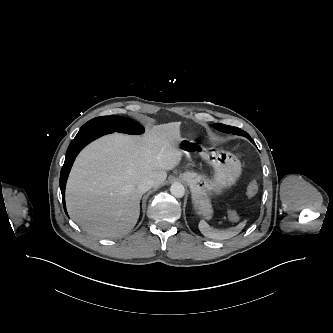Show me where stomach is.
Masks as SVG:
<instances>
[{"mask_svg":"<svg viewBox=\"0 0 333 333\" xmlns=\"http://www.w3.org/2000/svg\"><path fill=\"white\" fill-rule=\"evenodd\" d=\"M193 152L213 167V177L209 178L191 170L183 172L180 177L190 187L193 206L197 213L209 220L213 215L210 196L214 193L219 194L235 184L241 174V163L234 154L224 150L196 147Z\"/></svg>","mask_w":333,"mask_h":333,"instance_id":"0dacf381","label":"stomach"}]
</instances>
